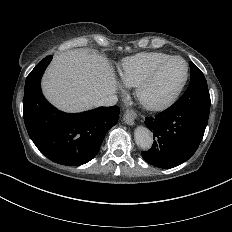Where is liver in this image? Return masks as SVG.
<instances>
[{
  "mask_svg": "<svg viewBox=\"0 0 232 232\" xmlns=\"http://www.w3.org/2000/svg\"><path fill=\"white\" fill-rule=\"evenodd\" d=\"M115 87V76L107 61L82 49L57 55L43 79L47 98L68 111L95 106Z\"/></svg>",
  "mask_w": 232,
  "mask_h": 232,
  "instance_id": "obj_1",
  "label": "liver"
}]
</instances>
